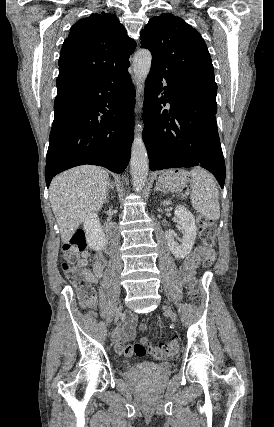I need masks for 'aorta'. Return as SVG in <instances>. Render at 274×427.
<instances>
[{
  "instance_id": "1",
  "label": "aorta",
  "mask_w": 274,
  "mask_h": 427,
  "mask_svg": "<svg viewBox=\"0 0 274 427\" xmlns=\"http://www.w3.org/2000/svg\"><path fill=\"white\" fill-rule=\"evenodd\" d=\"M151 62L152 55L149 50L141 49L136 52L133 59V71L140 89H143L144 87L146 78L150 72ZM130 164L133 187L139 191L145 186L149 170V160L147 150L142 139V126L140 124L135 127Z\"/></svg>"
}]
</instances>
